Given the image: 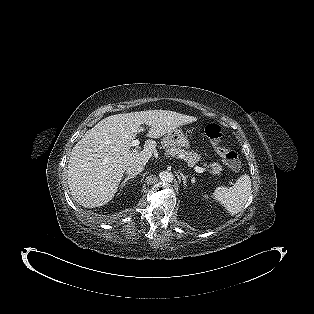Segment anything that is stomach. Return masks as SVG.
<instances>
[{
  "label": "stomach",
  "instance_id": "0dacf381",
  "mask_svg": "<svg viewBox=\"0 0 314 314\" xmlns=\"http://www.w3.org/2000/svg\"><path fill=\"white\" fill-rule=\"evenodd\" d=\"M164 143L174 145L182 150L189 149L188 138L186 135H184L183 131L180 128H176L171 132L165 134L163 137L162 144Z\"/></svg>",
  "mask_w": 314,
  "mask_h": 314
}]
</instances>
